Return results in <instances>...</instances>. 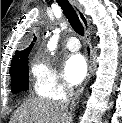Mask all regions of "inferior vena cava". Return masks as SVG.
Returning <instances> with one entry per match:
<instances>
[{"instance_id":"602c4592","label":"inferior vena cava","mask_w":122,"mask_h":123,"mask_svg":"<svg viewBox=\"0 0 122 123\" xmlns=\"http://www.w3.org/2000/svg\"><path fill=\"white\" fill-rule=\"evenodd\" d=\"M74 95V89L70 84L65 85L64 89V97L58 102L59 106L64 110L67 111L68 105Z\"/></svg>"}]
</instances>
